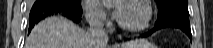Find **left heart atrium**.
<instances>
[{"mask_svg": "<svg viewBox=\"0 0 213 48\" xmlns=\"http://www.w3.org/2000/svg\"><path fill=\"white\" fill-rule=\"evenodd\" d=\"M122 4H123V3H122L121 1H118V2L116 3V6H115V8H114V11H113V14H114L117 18H119V19L122 18L123 13H124L123 5H122Z\"/></svg>", "mask_w": 213, "mask_h": 48, "instance_id": "left-heart-atrium-1", "label": "left heart atrium"}]
</instances>
